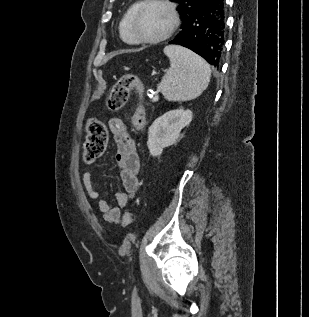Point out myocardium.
<instances>
[{"label":"myocardium","mask_w":309,"mask_h":317,"mask_svg":"<svg viewBox=\"0 0 309 317\" xmlns=\"http://www.w3.org/2000/svg\"><path fill=\"white\" fill-rule=\"evenodd\" d=\"M162 5L164 7H166L170 14H171V24L169 26V28L167 29V31L155 38H146L143 37L137 28V23H138V19L140 14L142 13V11L150 6V5ZM180 24V16L179 13L177 11L176 5L170 1V0H143L136 8L133 16H132V20H131V29H132V33L135 37V39L137 40V42L139 43H145V44H156V43H160L162 41L167 40L178 28Z\"/></svg>","instance_id":"myocardium-1"}]
</instances>
